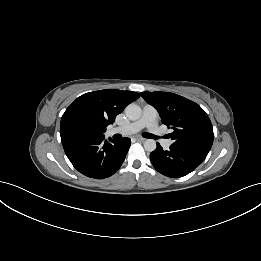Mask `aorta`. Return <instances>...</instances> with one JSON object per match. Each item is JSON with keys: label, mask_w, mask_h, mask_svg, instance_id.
I'll list each match as a JSON object with an SVG mask.
<instances>
[{"label": "aorta", "mask_w": 261, "mask_h": 261, "mask_svg": "<svg viewBox=\"0 0 261 261\" xmlns=\"http://www.w3.org/2000/svg\"><path fill=\"white\" fill-rule=\"evenodd\" d=\"M125 114L129 120L135 121L141 117L142 110L138 105L131 103L126 107ZM144 148L149 152L154 151L156 149V141L154 139H147L144 142Z\"/></svg>", "instance_id": "1"}]
</instances>
